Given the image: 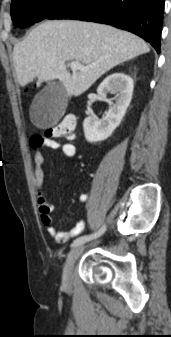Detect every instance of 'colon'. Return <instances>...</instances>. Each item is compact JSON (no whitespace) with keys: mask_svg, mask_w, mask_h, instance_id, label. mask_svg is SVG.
I'll return each instance as SVG.
<instances>
[{"mask_svg":"<svg viewBox=\"0 0 171 337\" xmlns=\"http://www.w3.org/2000/svg\"><path fill=\"white\" fill-rule=\"evenodd\" d=\"M75 127V119L71 116H67L59 124L49 127L46 130L45 135L49 138H72Z\"/></svg>","mask_w":171,"mask_h":337,"instance_id":"1","label":"colon"}]
</instances>
